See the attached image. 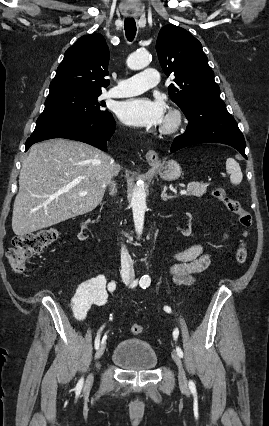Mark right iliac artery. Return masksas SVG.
Wrapping results in <instances>:
<instances>
[{
  "instance_id": "82829eb1",
  "label": "right iliac artery",
  "mask_w": 269,
  "mask_h": 426,
  "mask_svg": "<svg viewBox=\"0 0 269 426\" xmlns=\"http://www.w3.org/2000/svg\"><path fill=\"white\" fill-rule=\"evenodd\" d=\"M137 284H138V280H134L133 281V283L130 285V287L131 288H133V287H136L137 286ZM115 288H116V284L114 283V282H110L109 284H108V290L110 291V292H113L114 290H115ZM104 327V326H103ZM103 327H101L100 328V330L98 331V334H97V336H96V338H95V349H98L99 348V345H100V332L102 331V329H103ZM83 383H84V380H83V378H81L79 381H78V383H77V385H76V387H75V391H76V393H80L81 392V389H82V387H83Z\"/></svg>"
}]
</instances>
